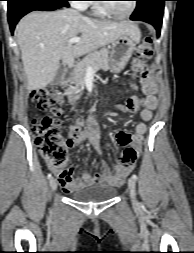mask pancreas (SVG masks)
I'll use <instances>...</instances> for the list:
<instances>
[{"label": "pancreas", "mask_w": 194, "mask_h": 253, "mask_svg": "<svg viewBox=\"0 0 194 253\" xmlns=\"http://www.w3.org/2000/svg\"><path fill=\"white\" fill-rule=\"evenodd\" d=\"M88 67L93 68L95 71L99 69L108 70L110 67L109 51L105 48L93 51L77 64L71 75V85H69L68 89L65 91V95L68 96L70 101L80 97L81 93H79V89L84 85Z\"/></svg>", "instance_id": "pancreas-1"}]
</instances>
